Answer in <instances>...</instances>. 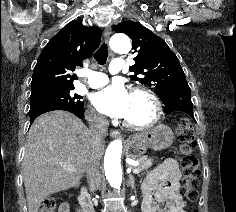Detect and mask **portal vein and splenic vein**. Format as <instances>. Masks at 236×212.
I'll return each instance as SVG.
<instances>
[{"label":"portal vein and splenic vein","mask_w":236,"mask_h":212,"mask_svg":"<svg viewBox=\"0 0 236 212\" xmlns=\"http://www.w3.org/2000/svg\"><path fill=\"white\" fill-rule=\"evenodd\" d=\"M138 164H136L137 166ZM62 169L65 170V171H70V172H75L77 169L73 166V165H69V164H64V165H61ZM140 172V169L138 167H135L133 169V173L134 174H138Z\"/></svg>","instance_id":"18ae733b"}]
</instances>
